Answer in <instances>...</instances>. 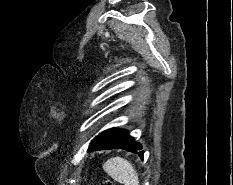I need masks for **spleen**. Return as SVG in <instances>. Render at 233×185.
Instances as JSON below:
<instances>
[{
  "label": "spleen",
  "mask_w": 233,
  "mask_h": 185,
  "mask_svg": "<svg viewBox=\"0 0 233 185\" xmlns=\"http://www.w3.org/2000/svg\"><path fill=\"white\" fill-rule=\"evenodd\" d=\"M104 171L115 181L124 185H139L138 174L133 165L122 157H112L103 164Z\"/></svg>",
  "instance_id": "spleen-1"
}]
</instances>
